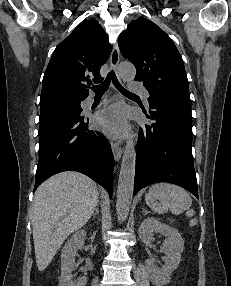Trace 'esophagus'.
<instances>
[{
    "instance_id": "1",
    "label": "esophagus",
    "mask_w": 231,
    "mask_h": 286,
    "mask_svg": "<svg viewBox=\"0 0 231 286\" xmlns=\"http://www.w3.org/2000/svg\"><path fill=\"white\" fill-rule=\"evenodd\" d=\"M119 60H120V52H119L118 44L116 43L113 46L111 56H110V64L114 70L117 69ZM111 148H112L114 158L118 162L122 156L121 142H112Z\"/></svg>"
}]
</instances>
